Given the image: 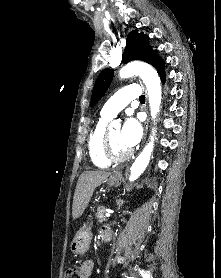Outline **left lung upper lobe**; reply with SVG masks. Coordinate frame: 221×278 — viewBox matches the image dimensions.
<instances>
[{
  "label": "left lung upper lobe",
  "mask_w": 221,
  "mask_h": 278,
  "mask_svg": "<svg viewBox=\"0 0 221 278\" xmlns=\"http://www.w3.org/2000/svg\"><path fill=\"white\" fill-rule=\"evenodd\" d=\"M123 63L132 60H141L154 66L157 71L164 67V61L154 52L148 44V36L133 30L127 36L126 48L123 52ZM113 70L104 69L93 88L91 106L96 104L110 86L113 78Z\"/></svg>",
  "instance_id": "1"
}]
</instances>
